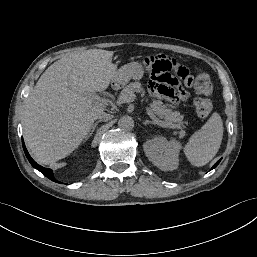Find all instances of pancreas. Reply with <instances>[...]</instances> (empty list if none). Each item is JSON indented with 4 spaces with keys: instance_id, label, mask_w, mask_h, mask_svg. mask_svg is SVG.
I'll use <instances>...</instances> for the list:
<instances>
[{
    "instance_id": "pancreas-1",
    "label": "pancreas",
    "mask_w": 257,
    "mask_h": 257,
    "mask_svg": "<svg viewBox=\"0 0 257 257\" xmlns=\"http://www.w3.org/2000/svg\"><path fill=\"white\" fill-rule=\"evenodd\" d=\"M135 92L144 93V89L140 82L130 83L126 87H124L121 91V96H129L134 94ZM152 111L158 115L161 119L164 120L165 123H177L181 122L183 116L179 111H172V109H168L165 104H163L160 100H154L152 105Z\"/></svg>"
}]
</instances>
